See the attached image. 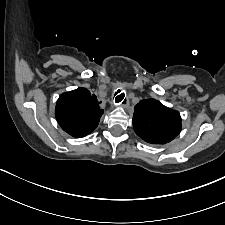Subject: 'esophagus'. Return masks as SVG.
<instances>
[{
	"label": "esophagus",
	"mask_w": 225,
	"mask_h": 225,
	"mask_svg": "<svg viewBox=\"0 0 225 225\" xmlns=\"http://www.w3.org/2000/svg\"><path fill=\"white\" fill-rule=\"evenodd\" d=\"M118 96V95H117ZM116 96V97H117ZM115 97V98H116ZM115 98H114V101H113V104L115 105V106H121V107H123V108H128V106H129V103H128V101L127 100H122L121 102H119V103H116V101H115Z\"/></svg>",
	"instance_id": "34e87169"
}]
</instances>
